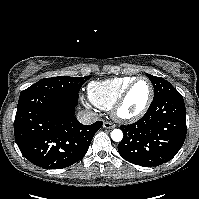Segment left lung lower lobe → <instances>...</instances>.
Masks as SVG:
<instances>
[{"label":"left lung lower lobe","instance_id":"left-lung-lower-lobe-1","mask_svg":"<svg viewBox=\"0 0 199 199\" xmlns=\"http://www.w3.org/2000/svg\"><path fill=\"white\" fill-rule=\"evenodd\" d=\"M119 154L136 165L151 167L172 159L186 137V110L180 93L153 100L137 122L121 126Z\"/></svg>","mask_w":199,"mask_h":199}]
</instances>
